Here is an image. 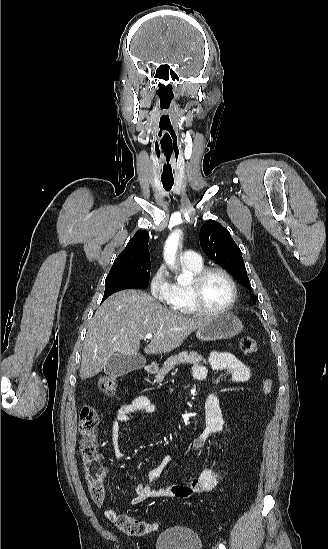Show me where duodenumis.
Returning a JSON list of instances; mask_svg holds the SVG:
<instances>
[{
  "mask_svg": "<svg viewBox=\"0 0 328 549\" xmlns=\"http://www.w3.org/2000/svg\"><path fill=\"white\" fill-rule=\"evenodd\" d=\"M146 372L149 373V374H152V373H155L156 372V366L153 365V364H149L146 366Z\"/></svg>",
  "mask_w": 328,
  "mask_h": 549,
  "instance_id": "obj_1",
  "label": "duodenum"
}]
</instances>
